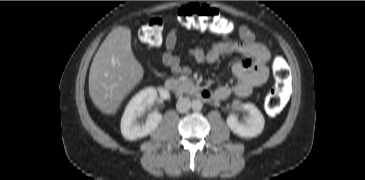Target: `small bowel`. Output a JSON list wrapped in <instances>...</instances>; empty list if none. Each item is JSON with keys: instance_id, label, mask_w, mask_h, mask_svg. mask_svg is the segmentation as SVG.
Listing matches in <instances>:
<instances>
[{"instance_id": "1", "label": "small bowel", "mask_w": 365, "mask_h": 180, "mask_svg": "<svg viewBox=\"0 0 365 180\" xmlns=\"http://www.w3.org/2000/svg\"><path fill=\"white\" fill-rule=\"evenodd\" d=\"M238 34L241 42L232 41L228 33L209 47L197 46L188 52L197 63H213L226 54H237L241 57L231 66L232 74L238 82L233 86L223 85L216 89L214 93L216 100H223L231 95L240 98L248 97L269 77L267 64L270 60V52L267 47L256 41L255 34L246 25L238 28ZM178 35L179 29L177 28H173L167 33L160 56L163 64L174 74L188 76L191 73L190 67L182 65L180 58L175 54Z\"/></svg>"}]
</instances>
